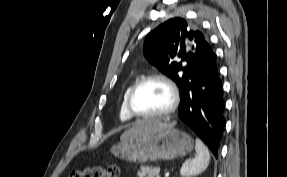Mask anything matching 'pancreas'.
Segmentation results:
<instances>
[{
    "mask_svg": "<svg viewBox=\"0 0 287 177\" xmlns=\"http://www.w3.org/2000/svg\"><path fill=\"white\" fill-rule=\"evenodd\" d=\"M160 172L159 167L144 166L138 171V177H158Z\"/></svg>",
    "mask_w": 287,
    "mask_h": 177,
    "instance_id": "cf45deb5",
    "label": "pancreas"
}]
</instances>
